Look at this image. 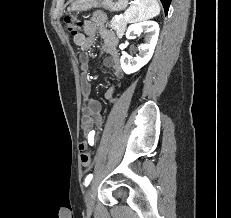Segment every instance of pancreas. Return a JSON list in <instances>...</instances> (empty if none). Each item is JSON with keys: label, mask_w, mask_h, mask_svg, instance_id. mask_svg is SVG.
<instances>
[{"label": "pancreas", "mask_w": 231, "mask_h": 218, "mask_svg": "<svg viewBox=\"0 0 231 218\" xmlns=\"http://www.w3.org/2000/svg\"><path fill=\"white\" fill-rule=\"evenodd\" d=\"M109 26L114 29L117 33V36L121 38L124 35L126 30V22L123 18L116 20L113 18L109 24Z\"/></svg>", "instance_id": "cf45deb5"}]
</instances>
